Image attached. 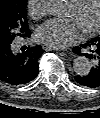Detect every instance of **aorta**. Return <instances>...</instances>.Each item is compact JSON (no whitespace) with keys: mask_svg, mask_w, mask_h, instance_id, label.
I'll return each mask as SVG.
<instances>
[{"mask_svg":"<svg viewBox=\"0 0 100 118\" xmlns=\"http://www.w3.org/2000/svg\"><path fill=\"white\" fill-rule=\"evenodd\" d=\"M46 8L50 14L58 17L64 16L68 11L65 0H48ZM73 69L77 75H88L91 70L90 61L84 56H78L73 61Z\"/></svg>","mask_w":100,"mask_h":118,"instance_id":"aorta-1","label":"aorta"}]
</instances>
